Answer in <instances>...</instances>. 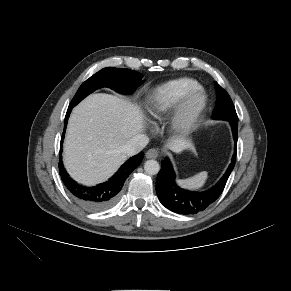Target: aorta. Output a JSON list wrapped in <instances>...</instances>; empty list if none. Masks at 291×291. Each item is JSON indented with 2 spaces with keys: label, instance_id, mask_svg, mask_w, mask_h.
I'll list each match as a JSON object with an SVG mask.
<instances>
[{
  "label": "aorta",
  "instance_id": "obj_1",
  "mask_svg": "<svg viewBox=\"0 0 291 291\" xmlns=\"http://www.w3.org/2000/svg\"><path fill=\"white\" fill-rule=\"evenodd\" d=\"M144 170L149 175H156L160 171V165L156 160H147L144 163Z\"/></svg>",
  "mask_w": 291,
  "mask_h": 291
}]
</instances>
